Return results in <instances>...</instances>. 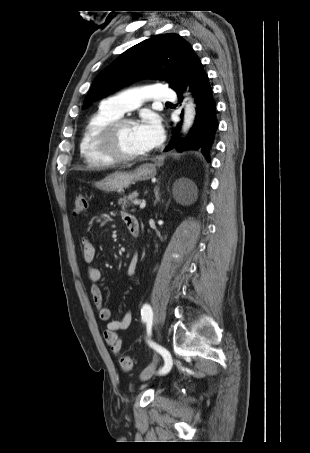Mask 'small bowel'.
<instances>
[{"label":"small bowel","instance_id":"obj_1","mask_svg":"<svg viewBox=\"0 0 310 453\" xmlns=\"http://www.w3.org/2000/svg\"><path fill=\"white\" fill-rule=\"evenodd\" d=\"M122 220L124 221L127 229L131 226H138V220L128 212L121 213ZM95 257V247L94 245L86 238L82 239V258L84 262L88 265L87 267V277L92 286L90 288V294L99 315V318L102 321L107 322V327L103 333L105 342L110 347L113 354L118 355L121 352L122 343L118 336L119 331L127 330L132 321V314L130 312L125 313L120 319L112 320L110 310L104 305L103 296L100 288L97 286L102 279V272L100 268L91 265ZM139 261V256L137 253H133L130 258L127 270L126 277H131L134 275Z\"/></svg>","mask_w":310,"mask_h":453}]
</instances>
